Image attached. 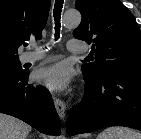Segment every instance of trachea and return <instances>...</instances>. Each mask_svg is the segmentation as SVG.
<instances>
[{"instance_id": "3493384b", "label": "trachea", "mask_w": 141, "mask_h": 139, "mask_svg": "<svg viewBox=\"0 0 141 139\" xmlns=\"http://www.w3.org/2000/svg\"><path fill=\"white\" fill-rule=\"evenodd\" d=\"M63 3H64V0H55L53 16L55 21V39L56 40L59 39V35H60V18H61Z\"/></svg>"}]
</instances>
